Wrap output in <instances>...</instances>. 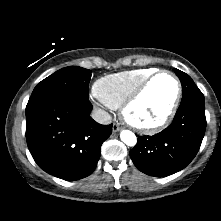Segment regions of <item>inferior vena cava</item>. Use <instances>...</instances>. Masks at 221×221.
Returning <instances> with one entry per match:
<instances>
[{"label":"inferior vena cava","mask_w":221,"mask_h":221,"mask_svg":"<svg viewBox=\"0 0 221 221\" xmlns=\"http://www.w3.org/2000/svg\"><path fill=\"white\" fill-rule=\"evenodd\" d=\"M91 117L98 123L108 125L111 123V116L108 112L101 110V109H95L93 110Z\"/></svg>","instance_id":"inferior-vena-cava-1"}]
</instances>
